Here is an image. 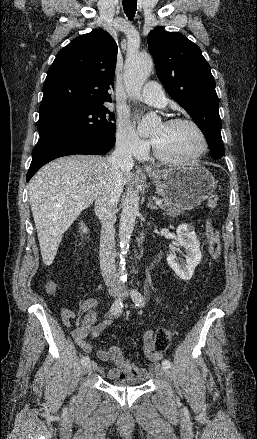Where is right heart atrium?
Segmentation results:
<instances>
[{"label":"right heart atrium","instance_id":"1","mask_svg":"<svg viewBox=\"0 0 257 439\" xmlns=\"http://www.w3.org/2000/svg\"><path fill=\"white\" fill-rule=\"evenodd\" d=\"M115 144L122 154L136 158L145 156L149 148L148 141L138 135L134 125L126 118L117 121Z\"/></svg>","mask_w":257,"mask_h":439}]
</instances>
